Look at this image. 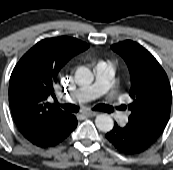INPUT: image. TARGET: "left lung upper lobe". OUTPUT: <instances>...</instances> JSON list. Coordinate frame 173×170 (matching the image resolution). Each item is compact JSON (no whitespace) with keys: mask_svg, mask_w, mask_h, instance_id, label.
I'll return each mask as SVG.
<instances>
[{"mask_svg":"<svg viewBox=\"0 0 173 170\" xmlns=\"http://www.w3.org/2000/svg\"><path fill=\"white\" fill-rule=\"evenodd\" d=\"M125 60L132 88L129 125L142 130L156 141L166 127L171 110L172 92L168 77L158 61L144 47L126 40L112 46Z\"/></svg>","mask_w":173,"mask_h":170,"instance_id":"1","label":"left lung upper lobe"}]
</instances>
